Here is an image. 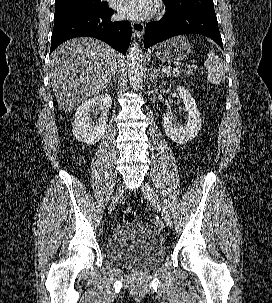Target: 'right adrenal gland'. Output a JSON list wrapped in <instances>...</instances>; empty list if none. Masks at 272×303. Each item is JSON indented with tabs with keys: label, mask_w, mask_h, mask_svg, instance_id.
Listing matches in <instances>:
<instances>
[{
	"label": "right adrenal gland",
	"mask_w": 272,
	"mask_h": 303,
	"mask_svg": "<svg viewBox=\"0 0 272 303\" xmlns=\"http://www.w3.org/2000/svg\"><path fill=\"white\" fill-rule=\"evenodd\" d=\"M115 75H116V73L113 75V77H112L111 81L109 82L108 86H111V85H113V83L116 82V76Z\"/></svg>",
	"instance_id": "obj_1"
}]
</instances>
